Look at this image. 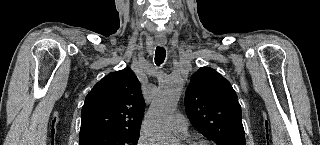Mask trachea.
I'll list each match as a JSON object with an SVG mask.
<instances>
[{
    "label": "trachea",
    "mask_w": 320,
    "mask_h": 145,
    "mask_svg": "<svg viewBox=\"0 0 320 145\" xmlns=\"http://www.w3.org/2000/svg\"><path fill=\"white\" fill-rule=\"evenodd\" d=\"M165 56H166V50L163 47L158 46L155 52L156 65L158 66L161 65L165 60Z\"/></svg>",
    "instance_id": "obj_1"
}]
</instances>
